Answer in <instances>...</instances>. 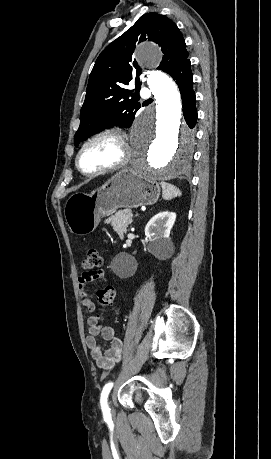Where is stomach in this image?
<instances>
[{"label": "stomach", "instance_id": "obj_1", "mask_svg": "<svg viewBox=\"0 0 271 459\" xmlns=\"http://www.w3.org/2000/svg\"><path fill=\"white\" fill-rule=\"evenodd\" d=\"M159 196L160 186L156 180L124 168L91 194H73L65 206L64 216L72 233L87 235L97 228L101 216H110L118 208L151 206Z\"/></svg>", "mask_w": 271, "mask_h": 459}]
</instances>
